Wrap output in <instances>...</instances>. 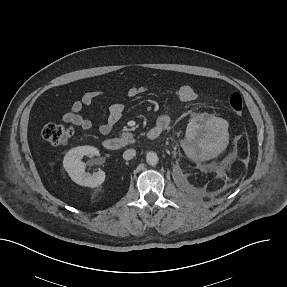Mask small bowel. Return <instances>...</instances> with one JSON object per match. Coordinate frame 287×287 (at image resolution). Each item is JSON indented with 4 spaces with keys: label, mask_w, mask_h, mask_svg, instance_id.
<instances>
[{
    "label": "small bowel",
    "mask_w": 287,
    "mask_h": 287,
    "mask_svg": "<svg viewBox=\"0 0 287 287\" xmlns=\"http://www.w3.org/2000/svg\"><path fill=\"white\" fill-rule=\"evenodd\" d=\"M145 87H132L127 91V96L130 98L137 97L145 92ZM175 98L180 102H193L197 99L196 90L190 85H182L173 90ZM103 93L100 91H89L84 93L81 98L75 100L70 110L63 114L62 119L83 130H89L93 127L90 119L85 118L82 112L85 108L92 105L96 100L103 98ZM124 112V105L116 102L112 103L108 110V116L104 123L100 124L98 130L101 134H108L113 127L119 122ZM171 124V117L167 113L160 114L155 123V127L166 129Z\"/></svg>",
    "instance_id": "obj_1"
}]
</instances>
